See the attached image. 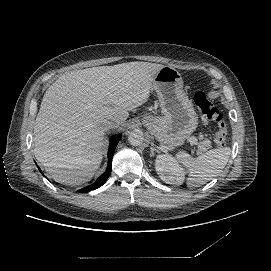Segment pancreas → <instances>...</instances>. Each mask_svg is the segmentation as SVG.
Here are the masks:
<instances>
[{"mask_svg": "<svg viewBox=\"0 0 271 271\" xmlns=\"http://www.w3.org/2000/svg\"><path fill=\"white\" fill-rule=\"evenodd\" d=\"M200 139H203V136H200L199 137ZM212 146H211V141L209 139H204L203 141H201L199 144H198V150H197V153L198 154H201L205 151H207L208 149H210Z\"/></svg>", "mask_w": 271, "mask_h": 271, "instance_id": "cf45deb5", "label": "pancreas"}]
</instances>
